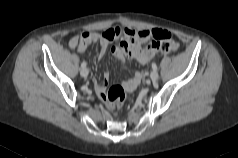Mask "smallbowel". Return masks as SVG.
I'll return each mask as SVG.
<instances>
[{"instance_id": "c3829d8e", "label": "small bowel", "mask_w": 238, "mask_h": 158, "mask_svg": "<svg viewBox=\"0 0 238 158\" xmlns=\"http://www.w3.org/2000/svg\"><path fill=\"white\" fill-rule=\"evenodd\" d=\"M170 36L169 32L162 29H142L133 30L130 28L116 27L108 29L102 33L86 31L80 35L72 37L69 46L80 52L85 51L93 43L100 44L98 59H102L107 52L109 43L114 39H120L119 45L112 47V55L119 59H133L140 65L147 64L160 49V42L163 38ZM151 40L145 48L142 43ZM142 79V73L136 72L134 76L127 81L126 86L129 90H134ZM109 81V74L105 72L101 80H94L97 94L104 97L106 87Z\"/></svg>"}]
</instances>
